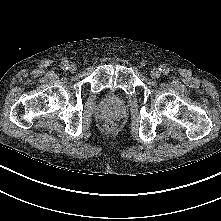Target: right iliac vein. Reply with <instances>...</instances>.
I'll return each mask as SVG.
<instances>
[{
    "mask_svg": "<svg viewBox=\"0 0 221 221\" xmlns=\"http://www.w3.org/2000/svg\"><path fill=\"white\" fill-rule=\"evenodd\" d=\"M76 70H77V66H76L75 64L69 65V71H70L71 73L76 72Z\"/></svg>",
    "mask_w": 221,
    "mask_h": 221,
    "instance_id": "right-iliac-vein-1",
    "label": "right iliac vein"
}]
</instances>
